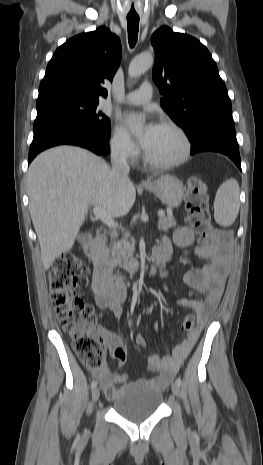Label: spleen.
<instances>
[{
    "mask_svg": "<svg viewBox=\"0 0 263 465\" xmlns=\"http://www.w3.org/2000/svg\"><path fill=\"white\" fill-rule=\"evenodd\" d=\"M239 213V185L235 179L222 183L214 201V218L221 226H231Z\"/></svg>",
    "mask_w": 263,
    "mask_h": 465,
    "instance_id": "obj_1",
    "label": "spleen"
}]
</instances>
